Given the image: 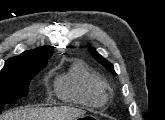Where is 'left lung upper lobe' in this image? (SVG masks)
I'll use <instances>...</instances> for the list:
<instances>
[{"label":"left lung upper lobe","mask_w":165,"mask_h":120,"mask_svg":"<svg viewBox=\"0 0 165 120\" xmlns=\"http://www.w3.org/2000/svg\"><path fill=\"white\" fill-rule=\"evenodd\" d=\"M90 53L99 63L106 67L111 73L116 75L114 67L109 61H107L101 55H99L93 48H90Z\"/></svg>","instance_id":"5c2ea615"}]
</instances>
